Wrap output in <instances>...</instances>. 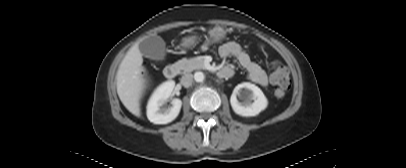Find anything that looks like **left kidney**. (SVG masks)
I'll list each match as a JSON object with an SVG mask.
<instances>
[{"mask_svg": "<svg viewBox=\"0 0 406 168\" xmlns=\"http://www.w3.org/2000/svg\"><path fill=\"white\" fill-rule=\"evenodd\" d=\"M242 89H245L242 91ZM237 96L244 98V102H239ZM253 101V102H252ZM230 103L233 111L243 117H252L265 110L268 101L262 90L250 82L238 84L231 95Z\"/></svg>", "mask_w": 406, "mask_h": 168, "instance_id": "1", "label": "left kidney"}]
</instances>
